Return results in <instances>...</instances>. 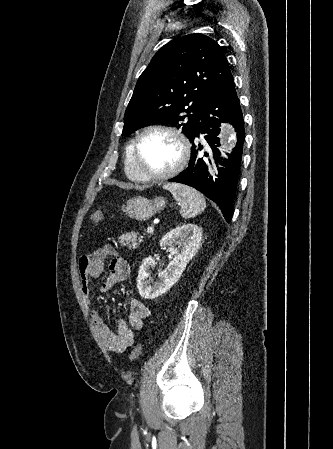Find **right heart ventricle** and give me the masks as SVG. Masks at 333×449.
<instances>
[{"mask_svg":"<svg viewBox=\"0 0 333 449\" xmlns=\"http://www.w3.org/2000/svg\"><path fill=\"white\" fill-rule=\"evenodd\" d=\"M133 142L134 141L128 144L125 151V159H124L125 173L131 180L142 181L137 171L135 170L133 163Z\"/></svg>","mask_w":333,"mask_h":449,"instance_id":"1","label":"right heart ventricle"}]
</instances>
